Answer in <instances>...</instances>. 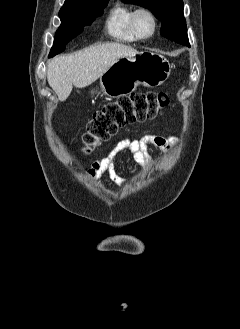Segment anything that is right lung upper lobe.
I'll list each match as a JSON object with an SVG mask.
<instances>
[{"instance_id": "obj_1", "label": "right lung upper lobe", "mask_w": 240, "mask_h": 329, "mask_svg": "<svg viewBox=\"0 0 240 329\" xmlns=\"http://www.w3.org/2000/svg\"><path fill=\"white\" fill-rule=\"evenodd\" d=\"M97 0H66L63 6L77 5V4H89Z\"/></svg>"}]
</instances>
